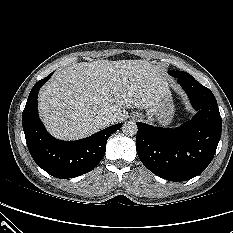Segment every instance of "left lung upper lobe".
<instances>
[{"label": "left lung upper lobe", "instance_id": "obj_1", "mask_svg": "<svg viewBox=\"0 0 233 233\" xmlns=\"http://www.w3.org/2000/svg\"><path fill=\"white\" fill-rule=\"evenodd\" d=\"M169 74L172 75L175 78H180V77H191L190 74L185 73L183 71H169Z\"/></svg>", "mask_w": 233, "mask_h": 233}]
</instances>
